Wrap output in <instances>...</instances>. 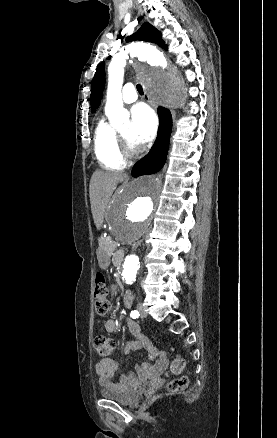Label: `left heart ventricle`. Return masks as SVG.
Wrapping results in <instances>:
<instances>
[{
  "label": "left heart ventricle",
  "mask_w": 277,
  "mask_h": 438,
  "mask_svg": "<svg viewBox=\"0 0 277 438\" xmlns=\"http://www.w3.org/2000/svg\"><path fill=\"white\" fill-rule=\"evenodd\" d=\"M119 133H121L128 140V142L132 145V147L135 148V146L133 145L131 138H130V135H131V127L130 126L123 128L122 130L119 131Z\"/></svg>",
  "instance_id": "obj_1"
}]
</instances>
